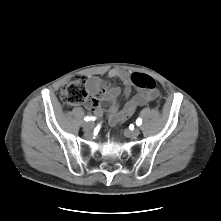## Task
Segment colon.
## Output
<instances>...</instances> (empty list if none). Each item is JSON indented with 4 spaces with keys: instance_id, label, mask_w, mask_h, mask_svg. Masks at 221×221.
Wrapping results in <instances>:
<instances>
[{
    "instance_id": "1",
    "label": "colon",
    "mask_w": 221,
    "mask_h": 221,
    "mask_svg": "<svg viewBox=\"0 0 221 221\" xmlns=\"http://www.w3.org/2000/svg\"><path fill=\"white\" fill-rule=\"evenodd\" d=\"M133 82L136 86L148 90H154L156 83L149 75L135 74ZM87 91L85 87V80L83 78H76L67 83L60 92V99L68 105H80L87 101Z\"/></svg>"
}]
</instances>
